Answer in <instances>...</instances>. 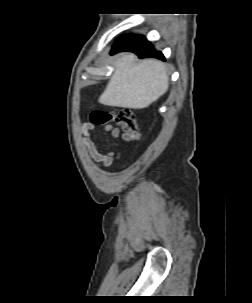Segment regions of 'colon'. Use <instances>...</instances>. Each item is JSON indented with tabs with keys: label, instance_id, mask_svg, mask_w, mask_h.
Masks as SVG:
<instances>
[{
	"label": "colon",
	"instance_id": "1",
	"mask_svg": "<svg viewBox=\"0 0 252 303\" xmlns=\"http://www.w3.org/2000/svg\"><path fill=\"white\" fill-rule=\"evenodd\" d=\"M90 121L95 125H106L115 122L123 131L127 141H133L139 134L137 118L131 110L123 109L118 112L98 109L91 113Z\"/></svg>",
	"mask_w": 252,
	"mask_h": 303
}]
</instances>
